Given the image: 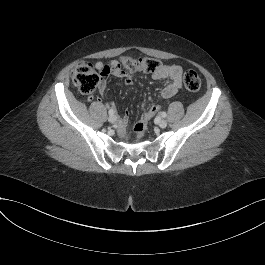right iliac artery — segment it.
Returning a JSON list of instances; mask_svg holds the SVG:
<instances>
[{
    "instance_id": "1",
    "label": "right iliac artery",
    "mask_w": 265,
    "mask_h": 265,
    "mask_svg": "<svg viewBox=\"0 0 265 265\" xmlns=\"http://www.w3.org/2000/svg\"><path fill=\"white\" fill-rule=\"evenodd\" d=\"M113 114V111L112 110H109V115H112Z\"/></svg>"
}]
</instances>
